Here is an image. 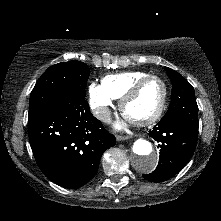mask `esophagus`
Segmentation results:
<instances>
[{
    "label": "esophagus",
    "mask_w": 221,
    "mask_h": 221,
    "mask_svg": "<svg viewBox=\"0 0 221 221\" xmlns=\"http://www.w3.org/2000/svg\"><path fill=\"white\" fill-rule=\"evenodd\" d=\"M116 139L117 141H123L129 139V136L117 135Z\"/></svg>",
    "instance_id": "34e87169"
}]
</instances>
